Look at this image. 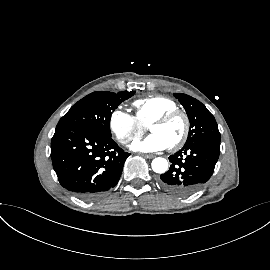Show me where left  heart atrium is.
I'll use <instances>...</instances> for the list:
<instances>
[{
	"label": "left heart atrium",
	"mask_w": 270,
	"mask_h": 270,
	"mask_svg": "<svg viewBox=\"0 0 270 270\" xmlns=\"http://www.w3.org/2000/svg\"><path fill=\"white\" fill-rule=\"evenodd\" d=\"M131 148L134 151L151 153L165 150L168 145L159 135L152 133L143 139L135 140Z\"/></svg>",
	"instance_id": "1"
}]
</instances>
